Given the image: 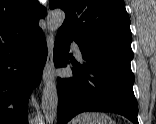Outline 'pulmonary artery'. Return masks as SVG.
Masks as SVG:
<instances>
[{
    "instance_id": "1",
    "label": "pulmonary artery",
    "mask_w": 156,
    "mask_h": 124,
    "mask_svg": "<svg viewBox=\"0 0 156 124\" xmlns=\"http://www.w3.org/2000/svg\"><path fill=\"white\" fill-rule=\"evenodd\" d=\"M72 51L78 60H82V53L78 44L73 43L71 45Z\"/></svg>"
}]
</instances>
